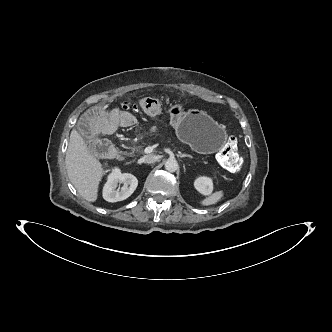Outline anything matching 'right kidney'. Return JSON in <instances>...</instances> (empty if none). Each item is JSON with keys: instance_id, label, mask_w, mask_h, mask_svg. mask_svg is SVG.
<instances>
[{"instance_id": "right-kidney-1", "label": "right kidney", "mask_w": 332, "mask_h": 332, "mask_svg": "<svg viewBox=\"0 0 332 332\" xmlns=\"http://www.w3.org/2000/svg\"><path fill=\"white\" fill-rule=\"evenodd\" d=\"M118 183L124 185L117 189ZM138 186L137 178L129 173H121L120 169L115 167L108 175V179L103 188V198L108 202H118L127 199L136 190Z\"/></svg>"}]
</instances>
